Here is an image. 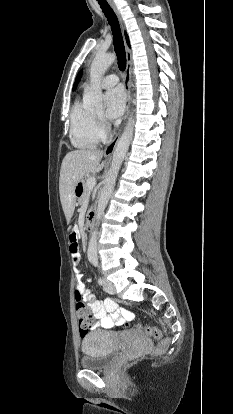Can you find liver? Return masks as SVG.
I'll use <instances>...</instances> for the list:
<instances>
[{"instance_id":"obj_1","label":"liver","mask_w":233,"mask_h":414,"mask_svg":"<svg viewBox=\"0 0 233 414\" xmlns=\"http://www.w3.org/2000/svg\"><path fill=\"white\" fill-rule=\"evenodd\" d=\"M102 157L103 151L94 148L74 150L64 157L60 170L59 192L67 222L71 220L75 209L76 185L86 174L102 170L104 167V163H100Z\"/></svg>"}]
</instances>
